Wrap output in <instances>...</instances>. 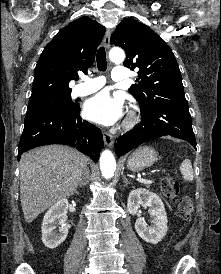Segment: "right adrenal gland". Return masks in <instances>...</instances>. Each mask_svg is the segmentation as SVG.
<instances>
[{"mask_svg": "<svg viewBox=\"0 0 221 274\" xmlns=\"http://www.w3.org/2000/svg\"><path fill=\"white\" fill-rule=\"evenodd\" d=\"M88 179H89V169L86 168L84 171V174L81 178V181L79 182V187H83V186L87 185Z\"/></svg>", "mask_w": 221, "mask_h": 274, "instance_id": "right-adrenal-gland-1", "label": "right adrenal gland"}]
</instances>
